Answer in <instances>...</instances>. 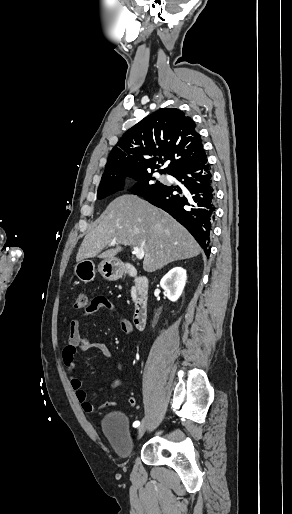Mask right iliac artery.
Returning a JSON list of instances; mask_svg holds the SVG:
<instances>
[{"label":"right iliac artery","mask_w":292,"mask_h":514,"mask_svg":"<svg viewBox=\"0 0 292 514\" xmlns=\"http://www.w3.org/2000/svg\"><path fill=\"white\" fill-rule=\"evenodd\" d=\"M139 425H140V422H139V421H135V422L133 423V427H138Z\"/></svg>","instance_id":"right-iliac-artery-1"}]
</instances>
